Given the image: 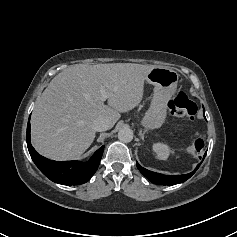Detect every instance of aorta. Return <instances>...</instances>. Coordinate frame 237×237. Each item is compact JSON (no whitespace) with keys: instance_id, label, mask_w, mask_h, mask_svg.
Instances as JSON below:
<instances>
[{"instance_id":"1","label":"aorta","mask_w":237,"mask_h":237,"mask_svg":"<svg viewBox=\"0 0 237 237\" xmlns=\"http://www.w3.org/2000/svg\"><path fill=\"white\" fill-rule=\"evenodd\" d=\"M118 139L124 143L131 142L133 139V131L130 128H121L118 132Z\"/></svg>"}]
</instances>
